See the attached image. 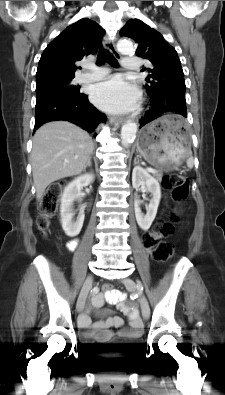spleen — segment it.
I'll list each match as a JSON object with an SVG mask.
<instances>
[{"instance_id":"3e777b00","label":"spleen","mask_w":225,"mask_h":395,"mask_svg":"<svg viewBox=\"0 0 225 395\" xmlns=\"http://www.w3.org/2000/svg\"><path fill=\"white\" fill-rule=\"evenodd\" d=\"M193 164H194V160H193V157L190 155V157H189L188 160H187V166H188L189 168H192V167H193Z\"/></svg>"}]
</instances>
